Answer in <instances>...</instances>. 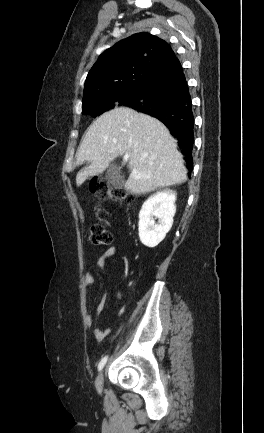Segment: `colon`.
I'll return each instance as SVG.
<instances>
[{
  "instance_id": "obj_1",
  "label": "colon",
  "mask_w": 264,
  "mask_h": 433,
  "mask_svg": "<svg viewBox=\"0 0 264 433\" xmlns=\"http://www.w3.org/2000/svg\"><path fill=\"white\" fill-rule=\"evenodd\" d=\"M90 190L92 193L103 198H112L121 202L132 201V195L126 190L111 188L103 181L97 179L90 182ZM89 239L96 246L109 245L112 242V233L105 226L94 224L90 228Z\"/></svg>"
}]
</instances>
